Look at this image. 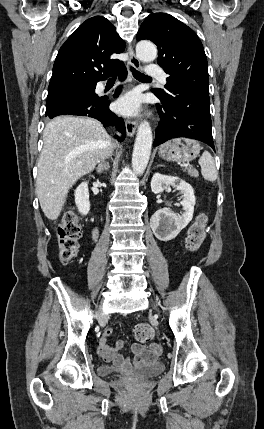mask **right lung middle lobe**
<instances>
[{"label": "right lung middle lobe", "instance_id": "right-lung-middle-lobe-1", "mask_svg": "<svg viewBox=\"0 0 264 429\" xmlns=\"http://www.w3.org/2000/svg\"><path fill=\"white\" fill-rule=\"evenodd\" d=\"M81 96L97 98L94 84H71L48 88L46 112L68 99Z\"/></svg>", "mask_w": 264, "mask_h": 429}]
</instances>
